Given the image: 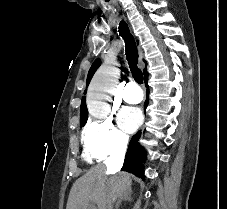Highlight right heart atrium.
Returning <instances> with one entry per match:
<instances>
[{
	"label": "right heart atrium",
	"instance_id": "obj_1",
	"mask_svg": "<svg viewBox=\"0 0 227 209\" xmlns=\"http://www.w3.org/2000/svg\"><path fill=\"white\" fill-rule=\"evenodd\" d=\"M128 142V136L111 119H91L82 131L84 154L92 161H103L124 154Z\"/></svg>",
	"mask_w": 227,
	"mask_h": 209
}]
</instances>
